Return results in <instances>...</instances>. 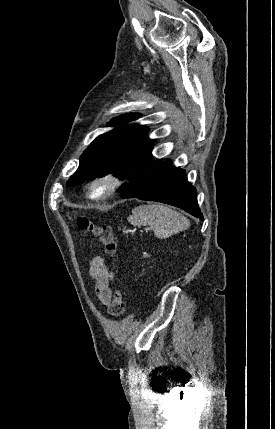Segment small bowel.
<instances>
[{"instance_id":"small-bowel-1","label":"small bowel","mask_w":275,"mask_h":429,"mask_svg":"<svg viewBox=\"0 0 275 429\" xmlns=\"http://www.w3.org/2000/svg\"><path fill=\"white\" fill-rule=\"evenodd\" d=\"M89 273L94 281L96 296L103 304L108 305L112 297L110 283L113 280V274L104 259L101 257L94 258L90 264Z\"/></svg>"}]
</instances>
